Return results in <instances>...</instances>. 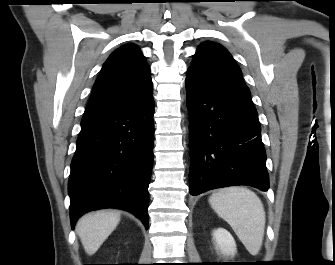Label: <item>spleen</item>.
Listing matches in <instances>:
<instances>
[{
  "mask_svg": "<svg viewBox=\"0 0 335 265\" xmlns=\"http://www.w3.org/2000/svg\"><path fill=\"white\" fill-rule=\"evenodd\" d=\"M215 212L232 227L251 255H257L264 237L266 215L260 198L245 187L222 188L209 197Z\"/></svg>",
  "mask_w": 335,
  "mask_h": 265,
  "instance_id": "1",
  "label": "spleen"
}]
</instances>
